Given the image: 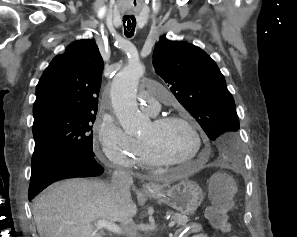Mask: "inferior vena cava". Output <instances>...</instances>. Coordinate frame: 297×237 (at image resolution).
<instances>
[{"mask_svg":"<svg viewBox=\"0 0 297 237\" xmlns=\"http://www.w3.org/2000/svg\"><path fill=\"white\" fill-rule=\"evenodd\" d=\"M133 179L128 171L115 170L112 176V192L120 203H126L130 200V186ZM122 227L126 231L128 237H137L136 225L131 218L122 222Z\"/></svg>","mask_w":297,"mask_h":237,"instance_id":"602c4592","label":"inferior vena cava"}]
</instances>
